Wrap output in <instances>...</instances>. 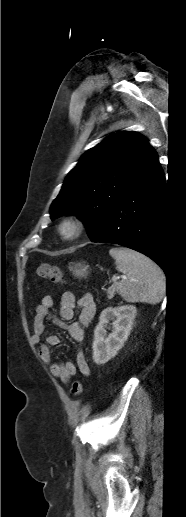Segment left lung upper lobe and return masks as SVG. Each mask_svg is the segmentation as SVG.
<instances>
[{
  "label": "left lung upper lobe",
  "mask_w": 186,
  "mask_h": 517,
  "mask_svg": "<svg viewBox=\"0 0 186 517\" xmlns=\"http://www.w3.org/2000/svg\"><path fill=\"white\" fill-rule=\"evenodd\" d=\"M146 138L119 132L84 153L50 207L51 219L76 214L92 240L106 215L157 158Z\"/></svg>",
  "instance_id": "obj_1"
}]
</instances>
